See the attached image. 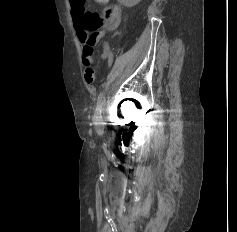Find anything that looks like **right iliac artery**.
<instances>
[{
    "label": "right iliac artery",
    "instance_id": "1",
    "mask_svg": "<svg viewBox=\"0 0 237 232\" xmlns=\"http://www.w3.org/2000/svg\"><path fill=\"white\" fill-rule=\"evenodd\" d=\"M113 62V53L109 52L108 54V66L110 67ZM102 104H103V93H100L98 96L96 111H95V119L100 120L102 118L101 112H102Z\"/></svg>",
    "mask_w": 237,
    "mask_h": 232
}]
</instances>
